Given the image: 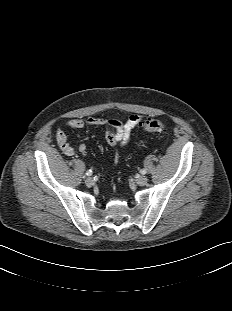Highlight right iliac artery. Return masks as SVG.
I'll return each mask as SVG.
<instances>
[{
	"instance_id": "82829eb1",
	"label": "right iliac artery",
	"mask_w": 232,
	"mask_h": 311,
	"mask_svg": "<svg viewBox=\"0 0 232 311\" xmlns=\"http://www.w3.org/2000/svg\"><path fill=\"white\" fill-rule=\"evenodd\" d=\"M92 174H93V171L91 169L86 172L87 176H91Z\"/></svg>"
}]
</instances>
